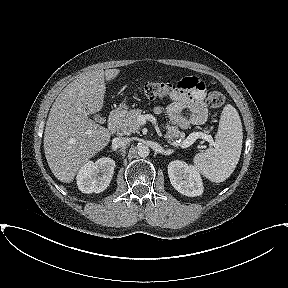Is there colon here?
Instances as JSON below:
<instances>
[{
    "label": "colon",
    "instance_id": "5ec220e1",
    "mask_svg": "<svg viewBox=\"0 0 288 288\" xmlns=\"http://www.w3.org/2000/svg\"><path fill=\"white\" fill-rule=\"evenodd\" d=\"M179 83H158V82H148L142 88L143 95L149 99L164 98L171 96L181 89ZM225 102L224 95L219 91H212L209 93L207 98V103L211 108H219Z\"/></svg>",
    "mask_w": 288,
    "mask_h": 288
}]
</instances>
